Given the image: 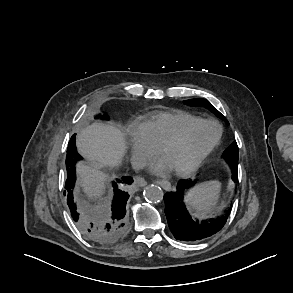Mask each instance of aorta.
<instances>
[{"instance_id": "762f6f07", "label": "aorta", "mask_w": 293, "mask_h": 293, "mask_svg": "<svg viewBox=\"0 0 293 293\" xmlns=\"http://www.w3.org/2000/svg\"><path fill=\"white\" fill-rule=\"evenodd\" d=\"M144 198L148 202L158 203L163 199V190L157 185H148L144 189Z\"/></svg>"}]
</instances>
